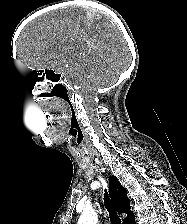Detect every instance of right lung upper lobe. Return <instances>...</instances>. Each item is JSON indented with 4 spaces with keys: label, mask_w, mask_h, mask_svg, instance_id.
Listing matches in <instances>:
<instances>
[{
    "label": "right lung upper lobe",
    "mask_w": 187,
    "mask_h": 224,
    "mask_svg": "<svg viewBox=\"0 0 187 224\" xmlns=\"http://www.w3.org/2000/svg\"><path fill=\"white\" fill-rule=\"evenodd\" d=\"M109 193L117 212L127 214V217L123 219V223L128 224L130 220L134 218V214L130 210V201L127 197V190L122 187L114 176L109 178Z\"/></svg>",
    "instance_id": "1"
}]
</instances>
